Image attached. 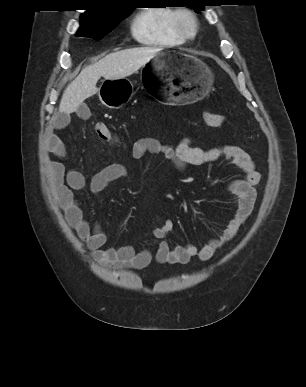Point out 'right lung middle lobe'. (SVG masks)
<instances>
[{
  "instance_id": "obj_1",
  "label": "right lung middle lobe",
  "mask_w": 306,
  "mask_h": 387,
  "mask_svg": "<svg viewBox=\"0 0 306 387\" xmlns=\"http://www.w3.org/2000/svg\"><path fill=\"white\" fill-rule=\"evenodd\" d=\"M130 7L124 8L116 16H113L106 20L94 21V20H81L80 29L77 32V36L89 37L96 40L102 39L112 29H114L121 19L127 17L131 13Z\"/></svg>"
}]
</instances>
